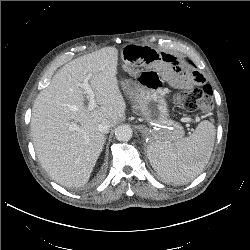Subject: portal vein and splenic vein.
I'll list each match as a JSON object with an SVG mask.
<instances>
[{"instance_id":"18ae733b","label":"portal vein and splenic vein","mask_w":250,"mask_h":250,"mask_svg":"<svg viewBox=\"0 0 250 250\" xmlns=\"http://www.w3.org/2000/svg\"><path fill=\"white\" fill-rule=\"evenodd\" d=\"M91 77V74H88L82 83H79L78 85L84 89V92L85 94L87 95V98L89 100V104H88V109L89 110H93L96 108L97 106V103H96V100H95V94H94V91L92 90V88L90 87L89 83H88V80L90 79ZM73 130H77L78 129V126L77 125H73L71 127Z\"/></svg>"}]
</instances>
